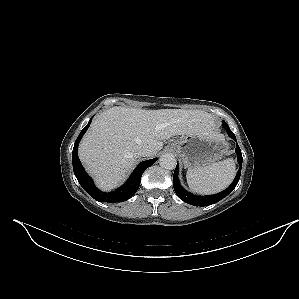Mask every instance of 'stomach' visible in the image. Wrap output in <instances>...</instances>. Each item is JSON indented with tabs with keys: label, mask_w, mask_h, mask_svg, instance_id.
I'll list each match as a JSON object with an SVG mask.
<instances>
[{
	"label": "stomach",
	"mask_w": 299,
	"mask_h": 299,
	"mask_svg": "<svg viewBox=\"0 0 299 299\" xmlns=\"http://www.w3.org/2000/svg\"><path fill=\"white\" fill-rule=\"evenodd\" d=\"M171 148L186 168L197 169L219 160L228 149V143L223 135L211 130L182 136L171 144Z\"/></svg>",
	"instance_id": "1"
}]
</instances>
